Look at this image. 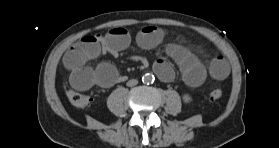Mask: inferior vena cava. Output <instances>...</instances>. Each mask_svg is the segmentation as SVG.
<instances>
[{"instance_id": "obj_1", "label": "inferior vena cava", "mask_w": 279, "mask_h": 148, "mask_svg": "<svg viewBox=\"0 0 279 148\" xmlns=\"http://www.w3.org/2000/svg\"><path fill=\"white\" fill-rule=\"evenodd\" d=\"M138 84V80L136 79H131L127 82V86L132 87Z\"/></svg>"}]
</instances>
